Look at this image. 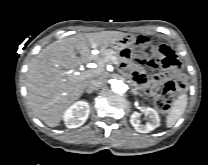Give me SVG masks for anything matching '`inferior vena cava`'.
I'll list each match as a JSON object with an SVG mask.
<instances>
[{
	"instance_id": "obj_1",
	"label": "inferior vena cava",
	"mask_w": 208,
	"mask_h": 165,
	"mask_svg": "<svg viewBox=\"0 0 208 165\" xmlns=\"http://www.w3.org/2000/svg\"><path fill=\"white\" fill-rule=\"evenodd\" d=\"M104 83H105V81L101 78L92 79L87 86V91L89 93H91V92L99 89L100 87H102L104 85Z\"/></svg>"
}]
</instances>
